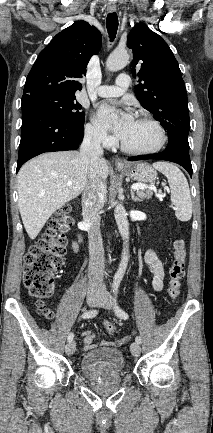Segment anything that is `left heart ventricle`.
<instances>
[{"instance_id": "1", "label": "left heart ventricle", "mask_w": 213, "mask_h": 433, "mask_svg": "<svg viewBox=\"0 0 213 433\" xmlns=\"http://www.w3.org/2000/svg\"><path fill=\"white\" fill-rule=\"evenodd\" d=\"M122 141L127 147L132 149H148L157 143L158 133L150 124L135 120L122 138Z\"/></svg>"}]
</instances>
